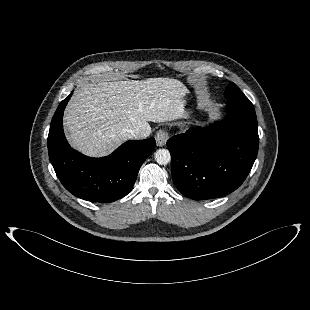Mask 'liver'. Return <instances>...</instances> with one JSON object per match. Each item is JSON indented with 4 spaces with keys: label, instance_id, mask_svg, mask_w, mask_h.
Returning <instances> with one entry per match:
<instances>
[{
    "label": "liver",
    "instance_id": "1",
    "mask_svg": "<svg viewBox=\"0 0 310 310\" xmlns=\"http://www.w3.org/2000/svg\"><path fill=\"white\" fill-rule=\"evenodd\" d=\"M187 93V87L173 78L84 84L64 113L70 144L87 156H105L130 139L127 130L139 129L149 136L148 122L182 118Z\"/></svg>",
    "mask_w": 310,
    "mask_h": 310
}]
</instances>
